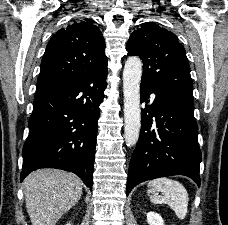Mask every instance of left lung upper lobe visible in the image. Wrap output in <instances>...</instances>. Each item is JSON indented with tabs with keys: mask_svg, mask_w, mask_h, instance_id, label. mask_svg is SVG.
<instances>
[{
	"mask_svg": "<svg viewBox=\"0 0 228 225\" xmlns=\"http://www.w3.org/2000/svg\"><path fill=\"white\" fill-rule=\"evenodd\" d=\"M127 42L128 55L143 62L142 80L154 88L193 99V84L185 49L172 32L145 22Z\"/></svg>",
	"mask_w": 228,
	"mask_h": 225,
	"instance_id": "1",
	"label": "left lung upper lobe"
}]
</instances>
